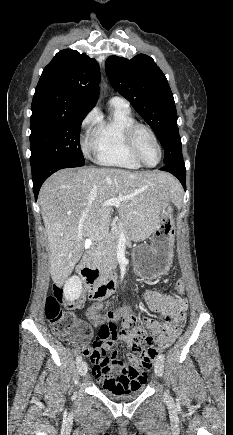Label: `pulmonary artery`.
<instances>
[{"label": "pulmonary artery", "mask_w": 233, "mask_h": 435, "mask_svg": "<svg viewBox=\"0 0 233 435\" xmlns=\"http://www.w3.org/2000/svg\"><path fill=\"white\" fill-rule=\"evenodd\" d=\"M112 105L129 108V101L120 96H114L110 99Z\"/></svg>", "instance_id": "1"}]
</instances>
